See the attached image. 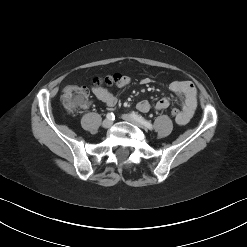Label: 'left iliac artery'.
Wrapping results in <instances>:
<instances>
[{
  "instance_id": "left-iliac-artery-1",
  "label": "left iliac artery",
  "mask_w": 247,
  "mask_h": 247,
  "mask_svg": "<svg viewBox=\"0 0 247 247\" xmlns=\"http://www.w3.org/2000/svg\"><path fill=\"white\" fill-rule=\"evenodd\" d=\"M131 115L134 117V119H136L139 123H141L146 128H148L150 130L153 129V125L149 121H147L146 119H144L142 116L136 114L135 112H132Z\"/></svg>"
}]
</instances>
